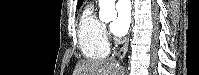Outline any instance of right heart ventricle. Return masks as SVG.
Segmentation results:
<instances>
[{
    "label": "right heart ventricle",
    "mask_w": 199,
    "mask_h": 75,
    "mask_svg": "<svg viewBox=\"0 0 199 75\" xmlns=\"http://www.w3.org/2000/svg\"><path fill=\"white\" fill-rule=\"evenodd\" d=\"M79 47L87 59L100 60L109 54V46L104 34V26L88 8L83 13L78 26Z\"/></svg>",
    "instance_id": "1"
}]
</instances>
